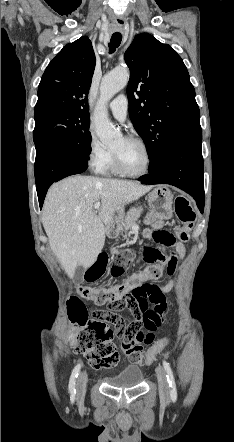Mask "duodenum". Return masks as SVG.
I'll return each instance as SVG.
<instances>
[{
	"label": "duodenum",
	"instance_id": "410a0bca",
	"mask_svg": "<svg viewBox=\"0 0 234 442\" xmlns=\"http://www.w3.org/2000/svg\"><path fill=\"white\" fill-rule=\"evenodd\" d=\"M119 232V225L117 223H111L108 227L107 234L109 236H115Z\"/></svg>",
	"mask_w": 234,
	"mask_h": 442
}]
</instances>
